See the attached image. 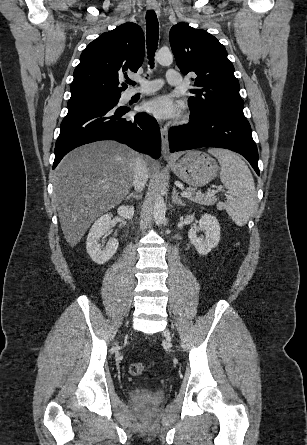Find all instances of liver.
<instances>
[{
  "label": "liver",
  "instance_id": "obj_1",
  "mask_svg": "<svg viewBox=\"0 0 307 445\" xmlns=\"http://www.w3.org/2000/svg\"><path fill=\"white\" fill-rule=\"evenodd\" d=\"M137 156L126 144L98 140L71 150L55 168L53 198L70 247H76L94 220L128 194ZM146 164L153 168L150 160Z\"/></svg>",
  "mask_w": 307,
  "mask_h": 445
}]
</instances>
